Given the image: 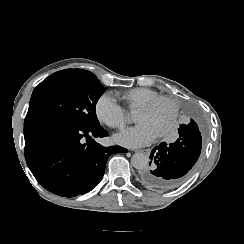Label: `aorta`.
Returning a JSON list of instances; mask_svg holds the SVG:
<instances>
[{
	"label": "aorta",
	"mask_w": 244,
	"mask_h": 244,
	"mask_svg": "<svg viewBox=\"0 0 244 244\" xmlns=\"http://www.w3.org/2000/svg\"><path fill=\"white\" fill-rule=\"evenodd\" d=\"M131 164L135 169L143 170L149 165V157L144 153H136L131 158Z\"/></svg>",
	"instance_id": "aorta-1"
}]
</instances>
